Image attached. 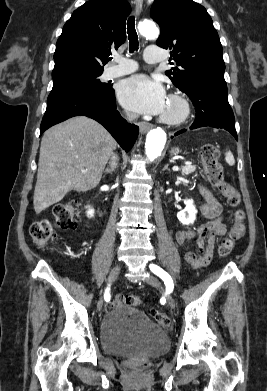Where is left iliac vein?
<instances>
[{
	"instance_id": "left-iliac-vein-1",
	"label": "left iliac vein",
	"mask_w": 267,
	"mask_h": 391,
	"mask_svg": "<svg viewBox=\"0 0 267 391\" xmlns=\"http://www.w3.org/2000/svg\"><path fill=\"white\" fill-rule=\"evenodd\" d=\"M145 281L153 286V287H156L158 289H161L162 290V287H161V284L159 282V280L154 276V275H149ZM165 297H166V300H167V303L169 304V306L171 308H175L176 304H175V300L174 298L170 295V294H165Z\"/></svg>"
}]
</instances>
